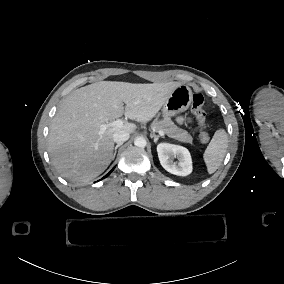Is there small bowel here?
Masks as SVG:
<instances>
[{"instance_id": "c3829d8e", "label": "small bowel", "mask_w": 284, "mask_h": 284, "mask_svg": "<svg viewBox=\"0 0 284 284\" xmlns=\"http://www.w3.org/2000/svg\"><path fill=\"white\" fill-rule=\"evenodd\" d=\"M177 121H178L179 123H183V122H189L190 119L181 116V117H178V118H177Z\"/></svg>"}]
</instances>
